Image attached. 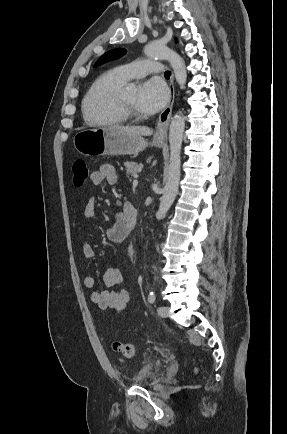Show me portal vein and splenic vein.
Wrapping results in <instances>:
<instances>
[{
    "label": "portal vein and splenic vein",
    "instance_id": "1",
    "mask_svg": "<svg viewBox=\"0 0 287 434\" xmlns=\"http://www.w3.org/2000/svg\"><path fill=\"white\" fill-rule=\"evenodd\" d=\"M137 185H138V180L135 179V180L133 181V186H137Z\"/></svg>",
    "mask_w": 287,
    "mask_h": 434
}]
</instances>
